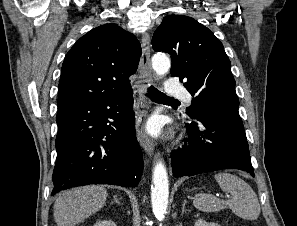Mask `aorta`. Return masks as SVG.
I'll list each match as a JSON object with an SVG mask.
<instances>
[{
  "label": "aorta",
  "instance_id": "aorta-1",
  "mask_svg": "<svg viewBox=\"0 0 297 226\" xmlns=\"http://www.w3.org/2000/svg\"><path fill=\"white\" fill-rule=\"evenodd\" d=\"M152 68L158 76L164 75L170 69V60L163 53H157L152 57ZM153 188L151 191L152 209L158 220L164 219L167 211L169 197V182L166 167L158 160L153 168Z\"/></svg>",
  "mask_w": 297,
  "mask_h": 226
}]
</instances>
